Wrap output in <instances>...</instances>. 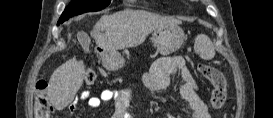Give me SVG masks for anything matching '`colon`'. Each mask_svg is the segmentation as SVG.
<instances>
[{
    "mask_svg": "<svg viewBox=\"0 0 273 118\" xmlns=\"http://www.w3.org/2000/svg\"><path fill=\"white\" fill-rule=\"evenodd\" d=\"M198 71L213 85V91L209 101L211 108L220 109L224 105L227 97L225 77L217 68L207 64H199ZM95 81V73L87 72L85 75L86 84L93 85ZM51 113L52 105L47 96V82L41 78L36 83L35 114L37 118H49Z\"/></svg>",
    "mask_w": 273,
    "mask_h": 118,
    "instance_id": "obj_1",
    "label": "colon"
}]
</instances>
